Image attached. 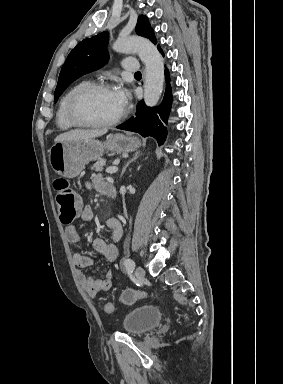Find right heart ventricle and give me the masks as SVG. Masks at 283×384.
Returning a JSON list of instances; mask_svg holds the SVG:
<instances>
[{
  "label": "right heart ventricle",
  "mask_w": 283,
  "mask_h": 384,
  "mask_svg": "<svg viewBox=\"0 0 283 384\" xmlns=\"http://www.w3.org/2000/svg\"><path fill=\"white\" fill-rule=\"evenodd\" d=\"M88 81H81L72 87H70L59 99V102L57 104L56 113H55V120L57 127L62 131H71L75 127L71 125V123L67 119L66 110L68 102L71 98V96L82 86L88 84Z\"/></svg>",
  "instance_id": "obj_1"
}]
</instances>
